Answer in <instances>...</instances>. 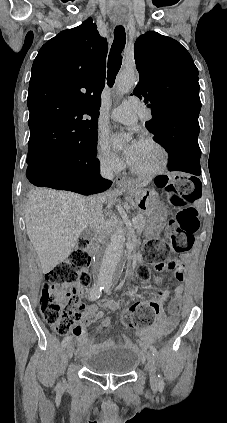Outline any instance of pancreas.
Listing matches in <instances>:
<instances>
[{"label": "pancreas", "mask_w": 227, "mask_h": 423, "mask_svg": "<svg viewBox=\"0 0 227 423\" xmlns=\"http://www.w3.org/2000/svg\"><path fill=\"white\" fill-rule=\"evenodd\" d=\"M136 217H138V223H136L135 229L137 233H141V231H143L146 227V217L145 215H142V213H138ZM101 229H109L108 221H104Z\"/></svg>", "instance_id": "1"}]
</instances>
